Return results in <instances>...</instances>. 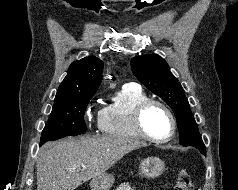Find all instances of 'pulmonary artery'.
Wrapping results in <instances>:
<instances>
[{"mask_svg": "<svg viewBox=\"0 0 238 190\" xmlns=\"http://www.w3.org/2000/svg\"><path fill=\"white\" fill-rule=\"evenodd\" d=\"M124 86H136L134 83H128V84H125Z\"/></svg>", "mask_w": 238, "mask_h": 190, "instance_id": "obj_1", "label": "pulmonary artery"}]
</instances>
